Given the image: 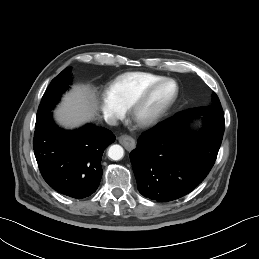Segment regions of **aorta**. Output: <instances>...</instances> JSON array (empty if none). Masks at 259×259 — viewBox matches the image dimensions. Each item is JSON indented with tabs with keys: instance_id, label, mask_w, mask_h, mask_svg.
I'll list each match as a JSON object with an SVG mask.
<instances>
[{
	"instance_id": "1",
	"label": "aorta",
	"mask_w": 259,
	"mask_h": 259,
	"mask_svg": "<svg viewBox=\"0 0 259 259\" xmlns=\"http://www.w3.org/2000/svg\"><path fill=\"white\" fill-rule=\"evenodd\" d=\"M124 155V150L120 145H112L108 150V156L112 160H120Z\"/></svg>"
}]
</instances>
